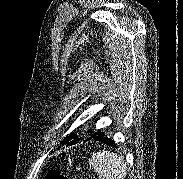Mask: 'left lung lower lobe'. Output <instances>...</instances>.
Here are the masks:
<instances>
[{"instance_id":"0a47b994","label":"left lung lower lobe","mask_w":183,"mask_h":179,"mask_svg":"<svg viewBox=\"0 0 183 179\" xmlns=\"http://www.w3.org/2000/svg\"><path fill=\"white\" fill-rule=\"evenodd\" d=\"M91 138H93L95 141H99L105 144H108L110 146H114L116 147L115 143L108 137H105L103 133H101L100 131L98 133H93ZM90 138H84V137H78L76 139H74L73 141H71L70 143H67L66 146H70L76 143H79L81 141H87Z\"/></svg>"}]
</instances>
